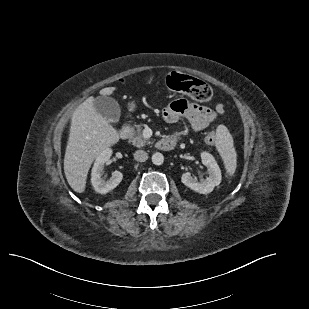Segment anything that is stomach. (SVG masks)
<instances>
[{
  "instance_id": "obj_1",
  "label": "stomach",
  "mask_w": 309,
  "mask_h": 309,
  "mask_svg": "<svg viewBox=\"0 0 309 309\" xmlns=\"http://www.w3.org/2000/svg\"><path fill=\"white\" fill-rule=\"evenodd\" d=\"M128 107H129V110H130V111H134L135 108H136V105H135L134 102H130L129 105H128Z\"/></svg>"
}]
</instances>
